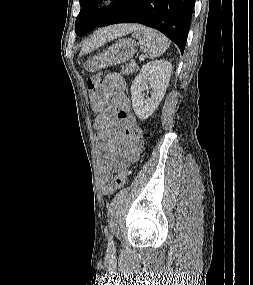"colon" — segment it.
Segmentation results:
<instances>
[{
    "instance_id": "colon-1",
    "label": "colon",
    "mask_w": 253,
    "mask_h": 285,
    "mask_svg": "<svg viewBox=\"0 0 253 285\" xmlns=\"http://www.w3.org/2000/svg\"><path fill=\"white\" fill-rule=\"evenodd\" d=\"M87 89L90 97L94 98L99 93L100 89V74L97 73L87 81ZM130 175V170L127 167H123L119 170L114 179V187L116 189L122 188L127 182Z\"/></svg>"
}]
</instances>
